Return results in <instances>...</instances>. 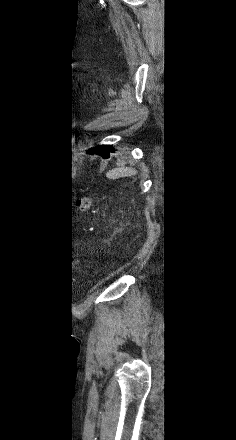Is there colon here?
Here are the masks:
<instances>
[{"label": "colon", "mask_w": 236, "mask_h": 440, "mask_svg": "<svg viewBox=\"0 0 236 440\" xmlns=\"http://www.w3.org/2000/svg\"><path fill=\"white\" fill-rule=\"evenodd\" d=\"M91 198L84 196L77 200L76 204L81 211L87 212L91 206Z\"/></svg>", "instance_id": "5ec220e1"}]
</instances>
